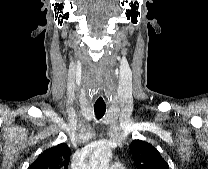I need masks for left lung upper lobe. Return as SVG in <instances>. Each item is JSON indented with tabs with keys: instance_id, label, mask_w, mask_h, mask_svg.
Returning <instances> with one entry per match:
<instances>
[{
	"instance_id": "left-lung-upper-lobe-1",
	"label": "left lung upper lobe",
	"mask_w": 208,
	"mask_h": 169,
	"mask_svg": "<svg viewBox=\"0 0 208 169\" xmlns=\"http://www.w3.org/2000/svg\"><path fill=\"white\" fill-rule=\"evenodd\" d=\"M129 148L137 169H169L168 163L151 144L133 140Z\"/></svg>"
}]
</instances>
